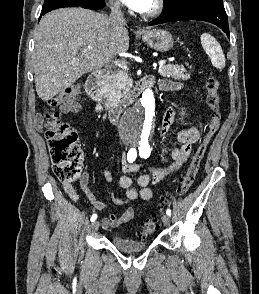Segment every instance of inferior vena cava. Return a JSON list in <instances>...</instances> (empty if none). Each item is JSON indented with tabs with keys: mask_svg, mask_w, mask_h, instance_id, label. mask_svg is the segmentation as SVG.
Segmentation results:
<instances>
[{
	"mask_svg": "<svg viewBox=\"0 0 259 294\" xmlns=\"http://www.w3.org/2000/svg\"><path fill=\"white\" fill-rule=\"evenodd\" d=\"M109 22H110L111 26L113 27V29H115L117 31L124 29L126 22H125V19L123 17V14L120 10V6L118 3H115L111 7Z\"/></svg>",
	"mask_w": 259,
	"mask_h": 294,
	"instance_id": "obj_1",
	"label": "inferior vena cava"
}]
</instances>
